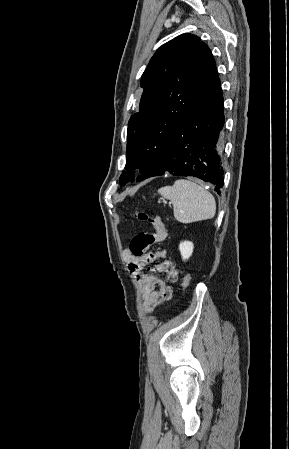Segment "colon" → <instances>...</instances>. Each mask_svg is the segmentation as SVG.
I'll use <instances>...</instances> for the list:
<instances>
[{
	"instance_id": "5ec220e1",
	"label": "colon",
	"mask_w": 289,
	"mask_h": 449,
	"mask_svg": "<svg viewBox=\"0 0 289 449\" xmlns=\"http://www.w3.org/2000/svg\"><path fill=\"white\" fill-rule=\"evenodd\" d=\"M136 217L141 221H146L154 228V232H142L135 235L129 245L133 255L137 257H145L148 255V249L155 244L163 243L167 238V230L157 215H149L144 211H139ZM182 289L185 291L190 286V277L187 274L182 276Z\"/></svg>"
}]
</instances>
